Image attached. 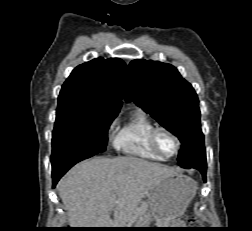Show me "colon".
<instances>
[{"instance_id":"obj_1","label":"colon","mask_w":252,"mask_h":231,"mask_svg":"<svg viewBox=\"0 0 252 231\" xmlns=\"http://www.w3.org/2000/svg\"><path fill=\"white\" fill-rule=\"evenodd\" d=\"M190 222H191V223H196V220L193 219V220H191Z\"/></svg>"}]
</instances>
